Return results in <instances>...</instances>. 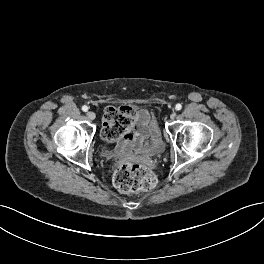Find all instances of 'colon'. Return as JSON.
<instances>
[{
	"mask_svg": "<svg viewBox=\"0 0 264 264\" xmlns=\"http://www.w3.org/2000/svg\"><path fill=\"white\" fill-rule=\"evenodd\" d=\"M134 117V111L127 106L110 107L104 118L106 126L101 133L108 141H117L129 130ZM115 187L123 193H138L154 188L157 184L155 174L148 168L131 162H123L117 166L113 175Z\"/></svg>",
	"mask_w": 264,
	"mask_h": 264,
	"instance_id": "5ec220e1",
	"label": "colon"
}]
</instances>
